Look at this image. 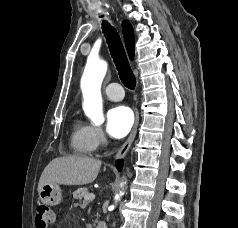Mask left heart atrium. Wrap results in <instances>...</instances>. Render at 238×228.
Instances as JSON below:
<instances>
[{"label":"left heart atrium","instance_id":"left-heart-atrium-1","mask_svg":"<svg viewBox=\"0 0 238 228\" xmlns=\"http://www.w3.org/2000/svg\"><path fill=\"white\" fill-rule=\"evenodd\" d=\"M106 128L110 136L114 138L124 137L134 123L132 110L124 105H118L107 112Z\"/></svg>","mask_w":238,"mask_h":228}]
</instances>
